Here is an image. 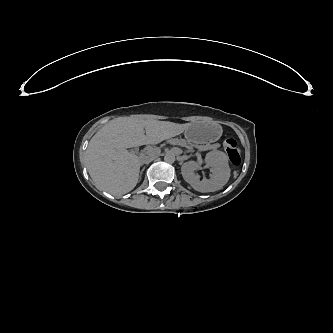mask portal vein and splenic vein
<instances>
[{
	"mask_svg": "<svg viewBox=\"0 0 333 333\" xmlns=\"http://www.w3.org/2000/svg\"><path fill=\"white\" fill-rule=\"evenodd\" d=\"M154 153H155L154 150H149V151H148V154H154Z\"/></svg>",
	"mask_w": 333,
	"mask_h": 333,
	"instance_id": "obj_1",
	"label": "portal vein and splenic vein"
}]
</instances>
